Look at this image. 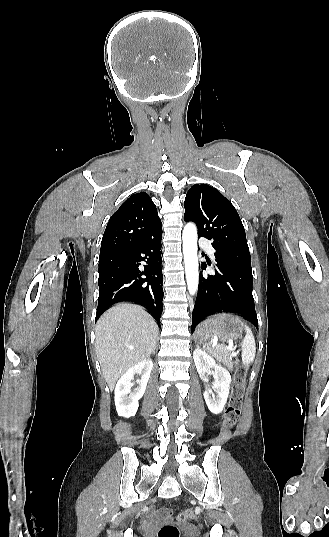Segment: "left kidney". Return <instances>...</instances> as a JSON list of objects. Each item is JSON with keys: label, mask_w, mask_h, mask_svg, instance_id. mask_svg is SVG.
I'll use <instances>...</instances> for the list:
<instances>
[{"label": "left kidney", "mask_w": 329, "mask_h": 537, "mask_svg": "<svg viewBox=\"0 0 329 537\" xmlns=\"http://www.w3.org/2000/svg\"><path fill=\"white\" fill-rule=\"evenodd\" d=\"M194 362L199 373L200 378L207 382L205 378V371L210 368H214V384L212 389L206 387L204 392V399L213 414H219L223 411L227 398L229 395L231 376L230 373L221 365H218L213 357L209 356L205 351L200 348H196L193 352ZM213 391L217 393L216 397H213Z\"/></svg>", "instance_id": "obj_1"}]
</instances>
